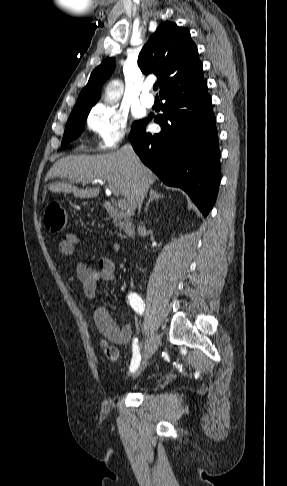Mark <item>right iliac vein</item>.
<instances>
[{
  "mask_svg": "<svg viewBox=\"0 0 287 486\" xmlns=\"http://www.w3.org/2000/svg\"><path fill=\"white\" fill-rule=\"evenodd\" d=\"M159 341H160L159 336L156 333L152 332L150 334L149 338L147 339V342H146L145 351H144L143 367L141 368V370L146 366V364L148 363V360L156 352L158 345H159ZM140 371L138 372V374L140 373Z\"/></svg>",
  "mask_w": 287,
  "mask_h": 486,
  "instance_id": "1",
  "label": "right iliac vein"
}]
</instances>
